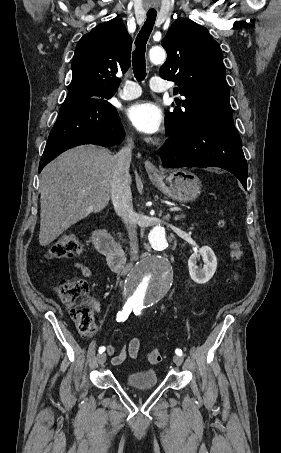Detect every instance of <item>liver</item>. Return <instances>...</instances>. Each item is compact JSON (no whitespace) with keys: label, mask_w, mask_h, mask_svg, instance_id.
Returning <instances> with one entry per match:
<instances>
[{"label":"liver","mask_w":281,"mask_h":453,"mask_svg":"<svg viewBox=\"0 0 281 453\" xmlns=\"http://www.w3.org/2000/svg\"><path fill=\"white\" fill-rule=\"evenodd\" d=\"M115 168L110 150L96 144L70 148L43 168L39 233L42 247L50 245L78 220L107 206Z\"/></svg>","instance_id":"1"}]
</instances>
